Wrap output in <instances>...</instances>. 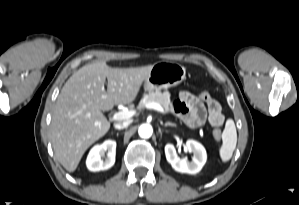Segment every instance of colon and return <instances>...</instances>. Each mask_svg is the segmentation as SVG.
Segmentation results:
<instances>
[{"instance_id": "colon-1", "label": "colon", "mask_w": 299, "mask_h": 205, "mask_svg": "<svg viewBox=\"0 0 299 205\" xmlns=\"http://www.w3.org/2000/svg\"><path fill=\"white\" fill-rule=\"evenodd\" d=\"M200 98L202 100L208 101L210 100V94L207 91H202L200 93ZM213 137L217 140L220 141L222 138V132L219 128L213 129Z\"/></svg>"}]
</instances>
